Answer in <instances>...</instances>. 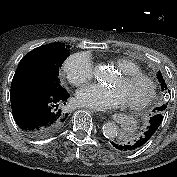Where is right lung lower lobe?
<instances>
[{"label": "right lung lower lobe", "instance_id": "obj_1", "mask_svg": "<svg viewBox=\"0 0 177 177\" xmlns=\"http://www.w3.org/2000/svg\"><path fill=\"white\" fill-rule=\"evenodd\" d=\"M69 96L66 90L54 93L30 87L11 88L13 117L20 129L31 138L52 136L67 121L64 105Z\"/></svg>", "mask_w": 177, "mask_h": 177}]
</instances>
